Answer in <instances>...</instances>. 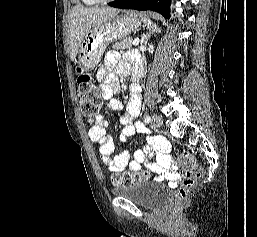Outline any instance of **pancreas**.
I'll return each instance as SVG.
<instances>
[{"label":"pancreas","instance_id":"pancreas-1","mask_svg":"<svg viewBox=\"0 0 257 237\" xmlns=\"http://www.w3.org/2000/svg\"><path fill=\"white\" fill-rule=\"evenodd\" d=\"M132 39L131 38H125V39H122L121 41L119 42H116L114 45H113V48L114 49H117V50H127V49H131L132 47Z\"/></svg>","mask_w":257,"mask_h":237}]
</instances>
